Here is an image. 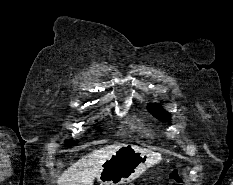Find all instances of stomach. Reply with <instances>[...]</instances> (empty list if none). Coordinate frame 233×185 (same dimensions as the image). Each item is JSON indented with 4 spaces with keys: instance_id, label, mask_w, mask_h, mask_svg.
I'll use <instances>...</instances> for the list:
<instances>
[{
    "instance_id": "obj_1",
    "label": "stomach",
    "mask_w": 233,
    "mask_h": 185,
    "mask_svg": "<svg viewBox=\"0 0 233 185\" xmlns=\"http://www.w3.org/2000/svg\"><path fill=\"white\" fill-rule=\"evenodd\" d=\"M160 159L156 152L127 144L102 164L97 180L100 185H124L159 163Z\"/></svg>"
}]
</instances>
